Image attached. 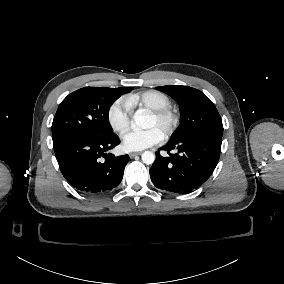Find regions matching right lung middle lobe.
Listing matches in <instances>:
<instances>
[{
	"label": "right lung middle lobe",
	"instance_id": "dd1d6c3e",
	"mask_svg": "<svg viewBox=\"0 0 284 284\" xmlns=\"http://www.w3.org/2000/svg\"><path fill=\"white\" fill-rule=\"evenodd\" d=\"M131 87H84L69 94L59 105L52 123L53 145L74 136H107L112 103Z\"/></svg>",
	"mask_w": 284,
	"mask_h": 284
}]
</instances>
